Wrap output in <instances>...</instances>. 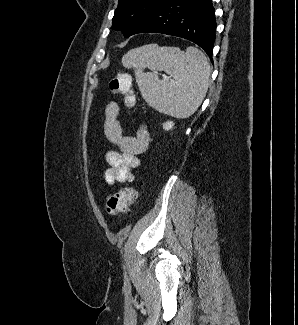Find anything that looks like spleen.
Segmentation results:
<instances>
[{"label": "spleen", "mask_w": 298, "mask_h": 325, "mask_svg": "<svg viewBox=\"0 0 298 325\" xmlns=\"http://www.w3.org/2000/svg\"><path fill=\"white\" fill-rule=\"evenodd\" d=\"M121 62L125 68H133L147 104L175 118L194 114L208 90L210 64L195 46L184 52L178 46L144 44L128 50ZM144 68L153 72H144ZM157 70H164L172 80H161Z\"/></svg>", "instance_id": "spleen-1"}]
</instances>
